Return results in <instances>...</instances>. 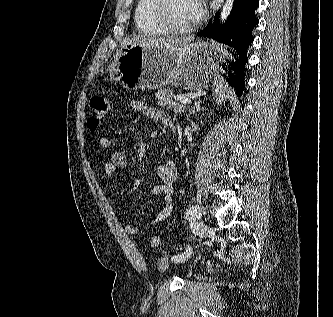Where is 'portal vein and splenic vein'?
Instances as JSON below:
<instances>
[{"label": "portal vein and splenic vein", "mask_w": 333, "mask_h": 317, "mask_svg": "<svg viewBox=\"0 0 333 317\" xmlns=\"http://www.w3.org/2000/svg\"><path fill=\"white\" fill-rule=\"evenodd\" d=\"M178 100L184 105H190L191 104V99L186 98V97H178Z\"/></svg>", "instance_id": "18ae733b"}]
</instances>
